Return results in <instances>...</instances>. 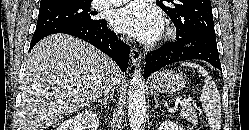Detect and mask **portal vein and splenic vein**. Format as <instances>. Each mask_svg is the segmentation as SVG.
<instances>
[{"label":"portal vein and splenic vein","instance_id":"obj_1","mask_svg":"<svg viewBox=\"0 0 249 130\" xmlns=\"http://www.w3.org/2000/svg\"><path fill=\"white\" fill-rule=\"evenodd\" d=\"M190 101H191V99H184V100L180 101L179 104L181 106H187L188 104H190Z\"/></svg>","mask_w":249,"mask_h":130}]
</instances>
